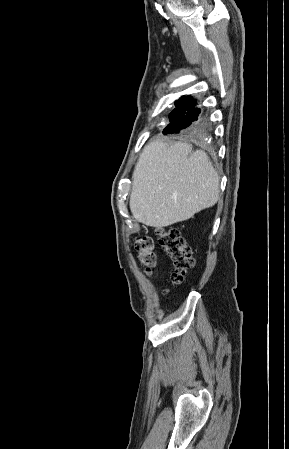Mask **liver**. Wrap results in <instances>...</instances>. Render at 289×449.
Returning <instances> with one entry per match:
<instances>
[{"label": "liver", "instance_id": "liver-1", "mask_svg": "<svg viewBox=\"0 0 289 449\" xmlns=\"http://www.w3.org/2000/svg\"><path fill=\"white\" fill-rule=\"evenodd\" d=\"M176 142L147 144L133 172L130 210L147 226L162 227L192 218L219 199V176L205 152Z\"/></svg>", "mask_w": 289, "mask_h": 449}]
</instances>
